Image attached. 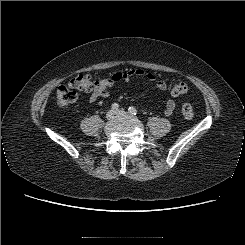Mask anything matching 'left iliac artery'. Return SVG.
Masks as SVG:
<instances>
[{
    "instance_id": "44dca946",
    "label": "left iliac artery",
    "mask_w": 245,
    "mask_h": 245,
    "mask_svg": "<svg viewBox=\"0 0 245 245\" xmlns=\"http://www.w3.org/2000/svg\"><path fill=\"white\" fill-rule=\"evenodd\" d=\"M129 113H131L132 115H136L137 114V110L135 107L131 106L128 109Z\"/></svg>"
}]
</instances>
